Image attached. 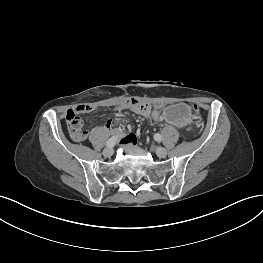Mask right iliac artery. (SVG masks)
I'll list each match as a JSON object with an SVG mask.
<instances>
[{
  "instance_id": "1",
  "label": "right iliac artery",
  "mask_w": 263,
  "mask_h": 263,
  "mask_svg": "<svg viewBox=\"0 0 263 263\" xmlns=\"http://www.w3.org/2000/svg\"><path fill=\"white\" fill-rule=\"evenodd\" d=\"M118 140V136H113L111 137L107 142H106V146L107 147H113L115 145V143Z\"/></svg>"
}]
</instances>
